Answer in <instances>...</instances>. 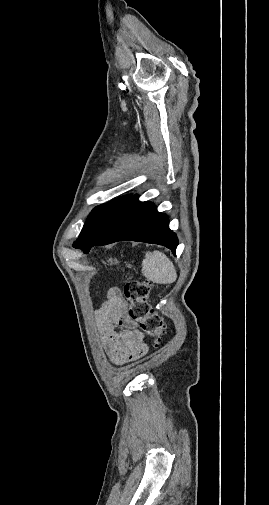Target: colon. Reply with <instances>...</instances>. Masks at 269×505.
<instances>
[{"label":"colon","instance_id":"obj_1","mask_svg":"<svg viewBox=\"0 0 269 505\" xmlns=\"http://www.w3.org/2000/svg\"><path fill=\"white\" fill-rule=\"evenodd\" d=\"M150 290L149 281L129 278L124 294L130 303V318L138 323L141 331L155 344H159L164 334V323L162 317L152 309L149 303Z\"/></svg>","mask_w":269,"mask_h":505}]
</instances>
